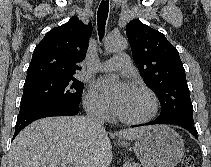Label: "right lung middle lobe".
Here are the masks:
<instances>
[{
    "label": "right lung middle lobe",
    "instance_id": "right-lung-middle-lobe-1",
    "mask_svg": "<svg viewBox=\"0 0 211 167\" xmlns=\"http://www.w3.org/2000/svg\"><path fill=\"white\" fill-rule=\"evenodd\" d=\"M83 83L74 76H52L26 80L20 108L44 103L78 104Z\"/></svg>",
    "mask_w": 211,
    "mask_h": 167
}]
</instances>
